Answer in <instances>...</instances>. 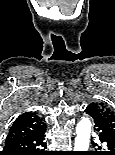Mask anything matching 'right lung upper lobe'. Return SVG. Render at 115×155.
<instances>
[{"instance_id":"obj_1","label":"right lung upper lobe","mask_w":115,"mask_h":155,"mask_svg":"<svg viewBox=\"0 0 115 155\" xmlns=\"http://www.w3.org/2000/svg\"><path fill=\"white\" fill-rule=\"evenodd\" d=\"M46 129L45 122L35 113L26 112L20 115L13 123L6 137V142L23 139Z\"/></svg>"}]
</instances>
